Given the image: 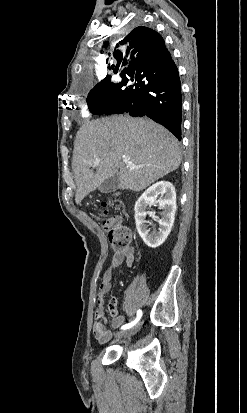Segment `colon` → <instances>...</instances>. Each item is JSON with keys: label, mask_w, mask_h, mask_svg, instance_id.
I'll return each instance as SVG.
<instances>
[{"label": "colon", "mask_w": 247, "mask_h": 413, "mask_svg": "<svg viewBox=\"0 0 247 413\" xmlns=\"http://www.w3.org/2000/svg\"><path fill=\"white\" fill-rule=\"evenodd\" d=\"M103 229L108 232L109 241L117 250L126 248L129 231L119 217H107L101 220Z\"/></svg>", "instance_id": "5ec220e1"}]
</instances>
